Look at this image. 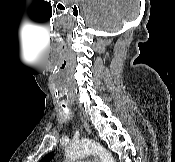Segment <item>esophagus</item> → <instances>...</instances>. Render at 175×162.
Returning a JSON list of instances; mask_svg holds the SVG:
<instances>
[{
  "instance_id": "34e87169",
  "label": "esophagus",
  "mask_w": 175,
  "mask_h": 162,
  "mask_svg": "<svg viewBox=\"0 0 175 162\" xmlns=\"http://www.w3.org/2000/svg\"><path fill=\"white\" fill-rule=\"evenodd\" d=\"M81 120H82V123H83V125H84L85 130H86L88 133H91L90 127H89V125L87 124V122H86L82 117H81ZM94 160H95V162H99V160L97 159L96 156H94Z\"/></svg>"
}]
</instances>
